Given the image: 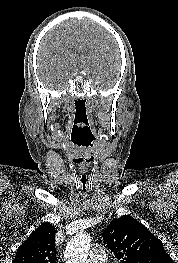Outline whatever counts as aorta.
Segmentation results:
<instances>
[{
    "label": "aorta",
    "mask_w": 178,
    "mask_h": 263,
    "mask_svg": "<svg viewBox=\"0 0 178 263\" xmlns=\"http://www.w3.org/2000/svg\"><path fill=\"white\" fill-rule=\"evenodd\" d=\"M91 238L84 232L77 233L67 243L65 263H88Z\"/></svg>",
    "instance_id": "1"
}]
</instances>
